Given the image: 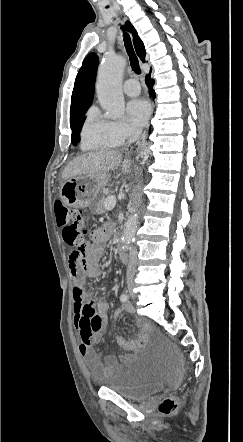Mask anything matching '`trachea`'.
Wrapping results in <instances>:
<instances>
[{"label": "trachea", "instance_id": "3493384b", "mask_svg": "<svg viewBox=\"0 0 243 442\" xmlns=\"http://www.w3.org/2000/svg\"><path fill=\"white\" fill-rule=\"evenodd\" d=\"M124 43H125L126 52L129 56L130 65H131L132 70L136 74H140L141 69H140L138 57L134 51V48H133V45L131 43L129 36L126 33H124Z\"/></svg>", "mask_w": 243, "mask_h": 442}]
</instances>
